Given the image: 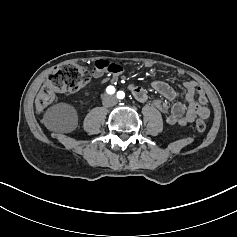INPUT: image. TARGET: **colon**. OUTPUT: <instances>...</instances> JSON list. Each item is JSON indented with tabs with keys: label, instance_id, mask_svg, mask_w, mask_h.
Masks as SVG:
<instances>
[{
	"label": "colon",
	"instance_id": "colon-1",
	"mask_svg": "<svg viewBox=\"0 0 237 237\" xmlns=\"http://www.w3.org/2000/svg\"><path fill=\"white\" fill-rule=\"evenodd\" d=\"M122 72L123 68L120 65L107 60H98L93 71L78 64L58 65L49 73L46 82L41 87L36 98V108L40 112L44 111L57 99L59 93L78 91L90 81L95 73L118 77ZM196 129L198 132L206 130L203 119L197 120Z\"/></svg>",
	"mask_w": 237,
	"mask_h": 237
}]
</instances>
